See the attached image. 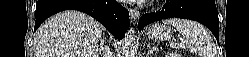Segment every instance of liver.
<instances>
[{
  "instance_id": "obj_1",
  "label": "liver",
  "mask_w": 249,
  "mask_h": 57,
  "mask_svg": "<svg viewBox=\"0 0 249 57\" xmlns=\"http://www.w3.org/2000/svg\"><path fill=\"white\" fill-rule=\"evenodd\" d=\"M103 26L79 11L58 13L39 27L34 57H98Z\"/></svg>"
}]
</instances>
